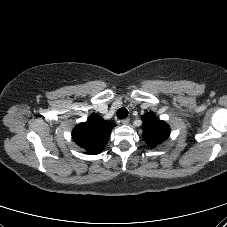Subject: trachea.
Instances as JSON below:
<instances>
[{
  "label": "trachea",
  "instance_id": "obj_1",
  "mask_svg": "<svg viewBox=\"0 0 227 227\" xmlns=\"http://www.w3.org/2000/svg\"><path fill=\"white\" fill-rule=\"evenodd\" d=\"M128 116V110L124 107L118 109L117 111V117L119 119H125Z\"/></svg>",
  "mask_w": 227,
  "mask_h": 227
}]
</instances>
